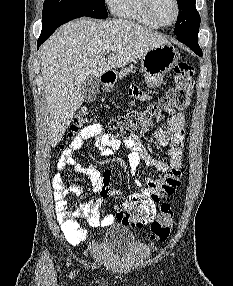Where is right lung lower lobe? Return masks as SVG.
<instances>
[{"mask_svg":"<svg viewBox=\"0 0 233 286\" xmlns=\"http://www.w3.org/2000/svg\"><path fill=\"white\" fill-rule=\"evenodd\" d=\"M81 17L80 15L64 12L47 22H43L41 35L37 42V47H39L44 41H46L49 36L62 24L67 23L75 18Z\"/></svg>","mask_w":233,"mask_h":286,"instance_id":"obj_1","label":"right lung lower lobe"}]
</instances>
